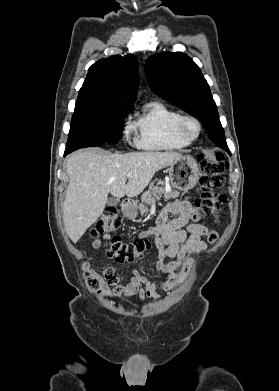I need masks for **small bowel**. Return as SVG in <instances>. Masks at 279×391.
<instances>
[{"mask_svg": "<svg viewBox=\"0 0 279 391\" xmlns=\"http://www.w3.org/2000/svg\"><path fill=\"white\" fill-rule=\"evenodd\" d=\"M192 212L190 198L180 202H169L159 213L156 226L139 233V238H145L148 235L154 237L159 250L156 269L166 276L159 281H153L139 271L133 270L129 283L117 288V295L125 298L138 295L142 301L145 299L155 301L159 299V290L171 291L184 282L193 264L191 254L207 249V243L203 237L206 238V235L211 232L202 223L190 222L194 219ZM170 214L176 217L169 220ZM108 239V235L96 239L93 247L99 248L102 242Z\"/></svg>", "mask_w": 279, "mask_h": 391, "instance_id": "1", "label": "small bowel"}]
</instances>
